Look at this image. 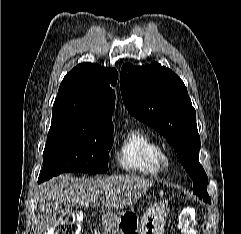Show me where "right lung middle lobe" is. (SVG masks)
I'll list each match as a JSON object with an SVG mask.
<instances>
[{"mask_svg":"<svg viewBox=\"0 0 241 234\" xmlns=\"http://www.w3.org/2000/svg\"><path fill=\"white\" fill-rule=\"evenodd\" d=\"M52 119L39 181L63 172H107L113 126L80 124L66 112H52Z\"/></svg>","mask_w":241,"mask_h":234,"instance_id":"dd1d6c3e","label":"right lung middle lobe"}]
</instances>
